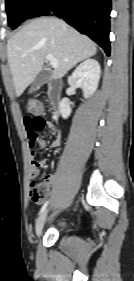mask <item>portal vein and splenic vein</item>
<instances>
[{"label":"portal vein and splenic vein","instance_id":"obj_1","mask_svg":"<svg viewBox=\"0 0 134 281\" xmlns=\"http://www.w3.org/2000/svg\"><path fill=\"white\" fill-rule=\"evenodd\" d=\"M46 60L50 62L51 66L53 68H57L58 67V60L55 59L53 57V55H51V54L46 55Z\"/></svg>","mask_w":134,"mask_h":281}]
</instances>
